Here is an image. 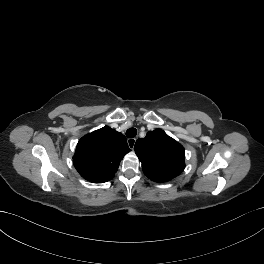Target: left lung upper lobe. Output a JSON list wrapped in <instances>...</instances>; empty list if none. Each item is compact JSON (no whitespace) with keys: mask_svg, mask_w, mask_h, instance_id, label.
I'll return each instance as SVG.
<instances>
[{"mask_svg":"<svg viewBox=\"0 0 264 264\" xmlns=\"http://www.w3.org/2000/svg\"><path fill=\"white\" fill-rule=\"evenodd\" d=\"M144 174L156 182L169 181L185 168L184 148L163 130L156 129L138 139L134 147Z\"/></svg>","mask_w":264,"mask_h":264,"instance_id":"1","label":"left lung upper lobe"}]
</instances>
